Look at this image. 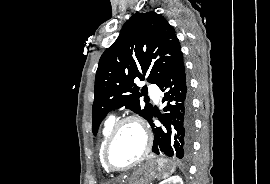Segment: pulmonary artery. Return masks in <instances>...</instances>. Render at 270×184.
Returning <instances> with one entry per match:
<instances>
[{"instance_id": "pulmonary-artery-1", "label": "pulmonary artery", "mask_w": 270, "mask_h": 184, "mask_svg": "<svg viewBox=\"0 0 270 184\" xmlns=\"http://www.w3.org/2000/svg\"><path fill=\"white\" fill-rule=\"evenodd\" d=\"M148 90L152 97L157 101L159 98V90L155 85H149Z\"/></svg>"}]
</instances>
